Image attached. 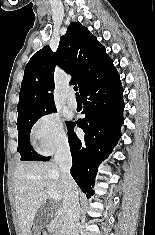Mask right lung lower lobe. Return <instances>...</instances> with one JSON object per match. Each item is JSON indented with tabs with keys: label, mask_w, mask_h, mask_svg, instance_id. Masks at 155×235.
Returning <instances> with one entry per match:
<instances>
[{
	"label": "right lung lower lobe",
	"mask_w": 155,
	"mask_h": 235,
	"mask_svg": "<svg viewBox=\"0 0 155 235\" xmlns=\"http://www.w3.org/2000/svg\"><path fill=\"white\" fill-rule=\"evenodd\" d=\"M80 94L85 118L70 122L67 126L73 161L70 172L80 189L90 198L94 194L92 187L97 167L110 155L121 137L124 101L117 70L88 84ZM75 125L84 130V139L77 137Z\"/></svg>",
	"instance_id": "obj_1"
}]
</instances>
